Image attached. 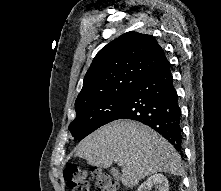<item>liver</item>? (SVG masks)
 Here are the masks:
<instances>
[{
  "mask_svg": "<svg viewBox=\"0 0 221 191\" xmlns=\"http://www.w3.org/2000/svg\"><path fill=\"white\" fill-rule=\"evenodd\" d=\"M76 155L90 165L122 166L124 186H136L144 177L168 172L181 175V157L174 147L150 127L132 120H117L102 126L77 146Z\"/></svg>",
  "mask_w": 221,
  "mask_h": 191,
  "instance_id": "obj_1",
  "label": "liver"
}]
</instances>
